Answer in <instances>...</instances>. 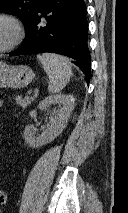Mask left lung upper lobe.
<instances>
[{"mask_svg": "<svg viewBox=\"0 0 128 213\" xmlns=\"http://www.w3.org/2000/svg\"><path fill=\"white\" fill-rule=\"evenodd\" d=\"M39 0H0V12L19 16L24 27L30 25Z\"/></svg>", "mask_w": 128, "mask_h": 213, "instance_id": "left-lung-upper-lobe-1", "label": "left lung upper lobe"}]
</instances>
